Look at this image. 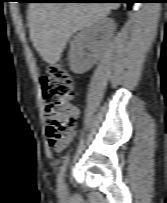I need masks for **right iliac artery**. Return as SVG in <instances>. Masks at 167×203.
<instances>
[{
    "instance_id": "obj_1",
    "label": "right iliac artery",
    "mask_w": 167,
    "mask_h": 203,
    "mask_svg": "<svg viewBox=\"0 0 167 203\" xmlns=\"http://www.w3.org/2000/svg\"><path fill=\"white\" fill-rule=\"evenodd\" d=\"M68 161H69V156L65 158L63 165L61 166L59 174H58L57 182H58L59 191H61V188H62V181H63V177L65 175Z\"/></svg>"
}]
</instances>
